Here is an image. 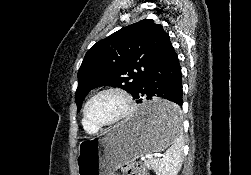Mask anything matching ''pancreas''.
Here are the masks:
<instances>
[{
    "mask_svg": "<svg viewBox=\"0 0 251 175\" xmlns=\"http://www.w3.org/2000/svg\"><path fill=\"white\" fill-rule=\"evenodd\" d=\"M144 165H152L151 159H146V161H144Z\"/></svg>",
    "mask_w": 251,
    "mask_h": 175,
    "instance_id": "obj_1",
    "label": "pancreas"
}]
</instances>
